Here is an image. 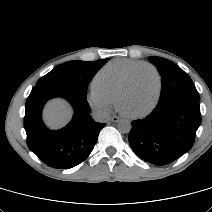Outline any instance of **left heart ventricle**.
<instances>
[{"instance_id":"obj_1","label":"left heart ventricle","mask_w":212,"mask_h":212,"mask_svg":"<svg viewBox=\"0 0 212 212\" xmlns=\"http://www.w3.org/2000/svg\"><path fill=\"white\" fill-rule=\"evenodd\" d=\"M157 93V78L149 68L140 69L121 100V108L126 113L136 114L147 110Z\"/></svg>"}]
</instances>
